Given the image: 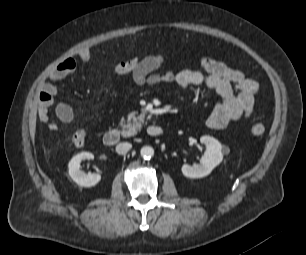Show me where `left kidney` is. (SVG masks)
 <instances>
[{
    "label": "left kidney",
    "mask_w": 306,
    "mask_h": 255,
    "mask_svg": "<svg viewBox=\"0 0 306 255\" xmlns=\"http://www.w3.org/2000/svg\"><path fill=\"white\" fill-rule=\"evenodd\" d=\"M200 142L205 145L206 151L200 164L190 166L184 164L181 168L184 176L189 178H202L211 173L223 160L221 143L211 136H202Z\"/></svg>",
    "instance_id": "left-kidney-1"
}]
</instances>
